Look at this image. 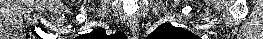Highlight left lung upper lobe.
I'll list each match as a JSON object with an SVG mask.
<instances>
[{
  "instance_id": "obj_1",
  "label": "left lung upper lobe",
  "mask_w": 263,
  "mask_h": 39,
  "mask_svg": "<svg viewBox=\"0 0 263 39\" xmlns=\"http://www.w3.org/2000/svg\"><path fill=\"white\" fill-rule=\"evenodd\" d=\"M147 39H200L197 35L169 23H163L157 27Z\"/></svg>"
}]
</instances>
